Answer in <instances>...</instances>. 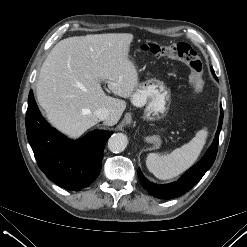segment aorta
Returning a JSON list of instances; mask_svg holds the SVG:
<instances>
[{
	"label": "aorta",
	"mask_w": 247,
	"mask_h": 247,
	"mask_svg": "<svg viewBox=\"0 0 247 247\" xmlns=\"http://www.w3.org/2000/svg\"><path fill=\"white\" fill-rule=\"evenodd\" d=\"M127 144V136L122 133H116L109 138L108 149L113 153H120L125 150Z\"/></svg>",
	"instance_id": "1"
}]
</instances>
